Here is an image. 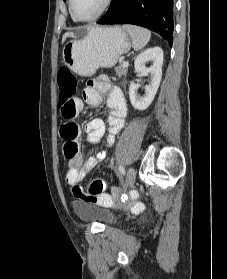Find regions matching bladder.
<instances>
[{
  "label": "bladder",
  "mask_w": 227,
  "mask_h": 279,
  "mask_svg": "<svg viewBox=\"0 0 227 279\" xmlns=\"http://www.w3.org/2000/svg\"><path fill=\"white\" fill-rule=\"evenodd\" d=\"M73 207L78 217L83 221H98L107 226H113L117 223V217L110 210L85 202H75Z\"/></svg>",
  "instance_id": "bladder-1"
}]
</instances>
